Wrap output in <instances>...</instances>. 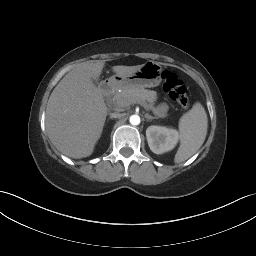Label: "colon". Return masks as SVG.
I'll list each match as a JSON object with an SVG mask.
<instances>
[{
    "label": "colon",
    "mask_w": 256,
    "mask_h": 256,
    "mask_svg": "<svg viewBox=\"0 0 256 256\" xmlns=\"http://www.w3.org/2000/svg\"><path fill=\"white\" fill-rule=\"evenodd\" d=\"M163 89L168 96L177 102L182 107L189 105V97L187 89L182 80L171 71H164L162 73Z\"/></svg>",
    "instance_id": "1"
}]
</instances>
